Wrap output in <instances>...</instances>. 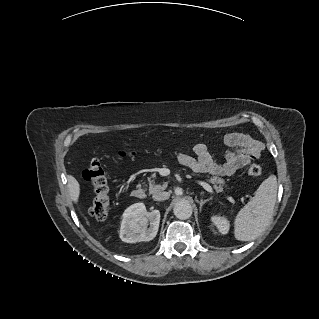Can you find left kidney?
Masks as SVG:
<instances>
[{
	"label": "left kidney",
	"instance_id": "1",
	"mask_svg": "<svg viewBox=\"0 0 319 319\" xmlns=\"http://www.w3.org/2000/svg\"><path fill=\"white\" fill-rule=\"evenodd\" d=\"M213 224L221 234H227L229 231V222L224 216L213 215L211 217Z\"/></svg>",
	"mask_w": 319,
	"mask_h": 319
}]
</instances>
